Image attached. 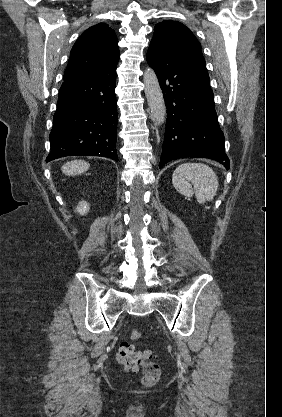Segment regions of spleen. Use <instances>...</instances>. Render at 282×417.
Here are the masks:
<instances>
[{
	"label": "spleen",
	"instance_id": "obj_1",
	"mask_svg": "<svg viewBox=\"0 0 282 417\" xmlns=\"http://www.w3.org/2000/svg\"><path fill=\"white\" fill-rule=\"evenodd\" d=\"M172 176L176 190L186 198H190L195 192L200 204L205 200H212L219 186L216 172L203 162H183L175 168Z\"/></svg>",
	"mask_w": 282,
	"mask_h": 417
}]
</instances>
